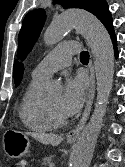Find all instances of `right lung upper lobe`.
I'll use <instances>...</instances> for the list:
<instances>
[{
  "label": "right lung upper lobe",
  "mask_w": 125,
  "mask_h": 167,
  "mask_svg": "<svg viewBox=\"0 0 125 167\" xmlns=\"http://www.w3.org/2000/svg\"><path fill=\"white\" fill-rule=\"evenodd\" d=\"M23 76V66L15 61L14 64V81L16 85H19Z\"/></svg>",
  "instance_id": "obj_1"
}]
</instances>
